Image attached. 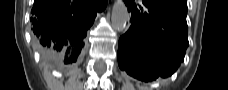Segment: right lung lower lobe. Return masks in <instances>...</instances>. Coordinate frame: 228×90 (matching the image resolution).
Returning a JSON list of instances; mask_svg holds the SVG:
<instances>
[{
  "instance_id": "98d812e1",
  "label": "right lung lower lobe",
  "mask_w": 228,
  "mask_h": 90,
  "mask_svg": "<svg viewBox=\"0 0 228 90\" xmlns=\"http://www.w3.org/2000/svg\"><path fill=\"white\" fill-rule=\"evenodd\" d=\"M107 0H35L31 10L36 42L66 64L76 62L88 29Z\"/></svg>"
}]
</instances>
